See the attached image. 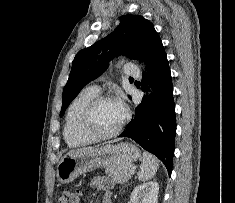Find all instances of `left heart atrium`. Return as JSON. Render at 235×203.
I'll return each mask as SVG.
<instances>
[{
	"instance_id": "obj_1",
	"label": "left heart atrium",
	"mask_w": 235,
	"mask_h": 203,
	"mask_svg": "<svg viewBox=\"0 0 235 203\" xmlns=\"http://www.w3.org/2000/svg\"><path fill=\"white\" fill-rule=\"evenodd\" d=\"M116 101L122 105V102L120 99H117Z\"/></svg>"
}]
</instances>
